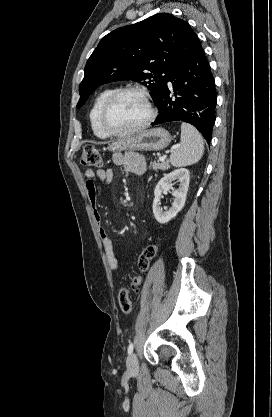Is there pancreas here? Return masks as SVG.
<instances>
[{
	"instance_id": "obj_1",
	"label": "pancreas",
	"mask_w": 272,
	"mask_h": 417,
	"mask_svg": "<svg viewBox=\"0 0 272 417\" xmlns=\"http://www.w3.org/2000/svg\"><path fill=\"white\" fill-rule=\"evenodd\" d=\"M150 165H151V168L155 171H157V170H166L170 167L168 161H165V162H162V163H157V162L154 161V162H151Z\"/></svg>"
}]
</instances>
